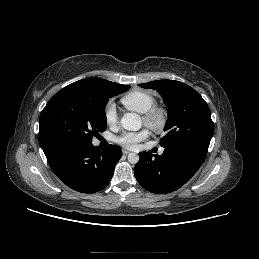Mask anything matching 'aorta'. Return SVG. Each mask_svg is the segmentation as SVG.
I'll use <instances>...</instances> for the list:
<instances>
[{
	"label": "aorta",
	"instance_id": "1",
	"mask_svg": "<svg viewBox=\"0 0 259 259\" xmlns=\"http://www.w3.org/2000/svg\"><path fill=\"white\" fill-rule=\"evenodd\" d=\"M121 126L128 131H138L142 126L141 117L136 113H126L121 118ZM128 161L131 164H136L139 161V155L136 153H130L128 155Z\"/></svg>",
	"mask_w": 259,
	"mask_h": 259
}]
</instances>
